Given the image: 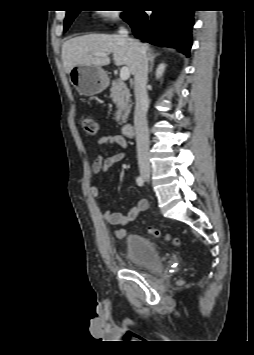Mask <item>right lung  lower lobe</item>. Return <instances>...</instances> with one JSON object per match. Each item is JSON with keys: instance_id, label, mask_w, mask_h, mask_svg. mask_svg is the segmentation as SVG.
Returning <instances> with one entry per match:
<instances>
[{"instance_id": "1", "label": "right lung lower lobe", "mask_w": 254, "mask_h": 355, "mask_svg": "<svg viewBox=\"0 0 254 355\" xmlns=\"http://www.w3.org/2000/svg\"><path fill=\"white\" fill-rule=\"evenodd\" d=\"M175 3H161V8L147 14L132 9L124 16L134 35L151 44H160L180 50L189 56L192 46L191 28L194 24L193 10L174 7Z\"/></svg>"}]
</instances>
